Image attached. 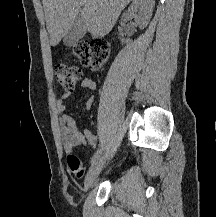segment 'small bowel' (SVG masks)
<instances>
[{
    "label": "small bowel",
    "mask_w": 216,
    "mask_h": 217,
    "mask_svg": "<svg viewBox=\"0 0 216 217\" xmlns=\"http://www.w3.org/2000/svg\"><path fill=\"white\" fill-rule=\"evenodd\" d=\"M81 86L89 91H94L96 88L95 82L91 78H84L81 82ZM72 95L71 90L64 91L61 96L57 99V112L59 115V124H60V133L62 137V141L64 144V148L67 154H73L74 148L77 146H86L90 145L95 147L97 145L96 136L89 130L84 129L80 131L76 126V121L66 113L65 100H67ZM94 100V96L91 95L88 99V103L92 104ZM82 174L77 175L81 177Z\"/></svg>",
    "instance_id": "1"
}]
</instances>
